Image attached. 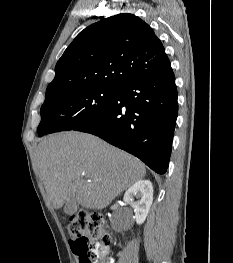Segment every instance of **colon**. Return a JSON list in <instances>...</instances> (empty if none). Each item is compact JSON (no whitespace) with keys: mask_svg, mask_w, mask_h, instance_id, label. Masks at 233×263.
<instances>
[{"mask_svg":"<svg viewBox=\"0 0 233 263\" xmlns=\"http://www.w3.org/2000/svg\"><path fill=\"white\" fill-rule=\"evenodd\" d=\"M67 229L78 263H105L111 238L106 231L103 214L79 211L70 217Z\"/></svg>","mask_w":233,"mask_h":263,"instance_id":"obj_1","label":"colon"}]
</instances>
